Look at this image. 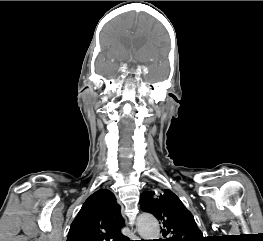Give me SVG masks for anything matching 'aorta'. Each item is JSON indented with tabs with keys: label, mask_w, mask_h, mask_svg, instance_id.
<instances>
[{
	"label": "aorta",
	"mask_w": 263,
	"mask_h": 241,
	"mask_svg": "<svg viewBox=\"0 0 263 241\" xmlns=\"http://www.w3.org/2000/svg\"><path fill=\"white\" fill-rule=\"evenodd\" d=\"M137 230L145 240L156 239L160 232L157 219L148 213H142L138 216Z\"/></svg>",
	"instance_id": "1"
}]
</instances>
